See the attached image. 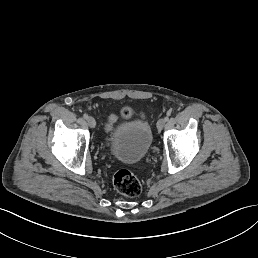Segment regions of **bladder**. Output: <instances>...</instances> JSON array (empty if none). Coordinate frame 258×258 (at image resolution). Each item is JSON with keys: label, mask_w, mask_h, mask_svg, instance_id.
Instances as JSON below:
<instances>
[{"label": "bladder", "mask_w": 258, "mask_h": 258, "mask_svg": "<svg viewBox=\"0 0 258 258\" xmlns=\"http://www.w3.org/2000/svg\"><path fill=\"white\" fill-rule=\"evenodd\" d=\"M152 131L144 120H132L114 128L109 137L111 151L122 161H139L149 151Z\"/></svg>", "instance_id": "1"}]
</instances>
